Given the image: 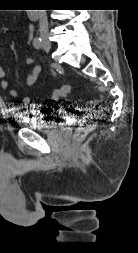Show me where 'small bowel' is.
I'll list each match as a JSON object with an SVG mask.
<instances>
[{
  "label": "small bowel",
  "mask_w": 138,
  "mask_h": 253,
  "mask_svg": "<svg viewBox=\"0 0 138 253\" xmlns=\"http://www.w3.org/2000/svg\"><path fill=\"white\" fill-rule=\"evenodd\" d=\"M25 63L28 64V65H31L33 63V58L28 56L25 58ZM41 67L40 66H35L31 72L28 74L27 76V79H26V87L28 88H31L33 87L37 80H38V77L41 73ZM0 85L1 87L4 89V90H8L9 89V85H8V82H7V79H6V74L3 70V68L0 66ZM9 93L11 96L15 97L16 96V91L15 90H9ZM21 103L23 105H28L30 104V98L29 97H23L22 100H21Z\"/></svg>",
  "instance_id": "1"
}]
</instances>
